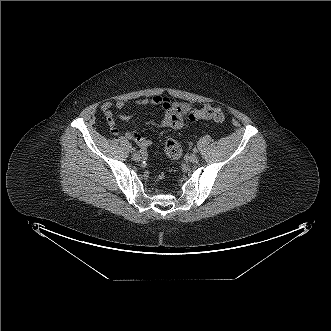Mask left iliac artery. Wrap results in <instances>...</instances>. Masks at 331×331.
<instances>
[{
	"instance_id": "1",
	"label": "left iliac artery",
	"mask_w": 331,
	"mask_h": 331,
	"mask_svg": "<svg viewBox=\"0 0 331 331\" xmlns=\"http://www.w3.org/2000/svg\"><path fill=\"white\" fill-rule=\"evenodd\" d=\"M197 151H198V150H197L196 148L193 149V152H194V153H197Z\"/></svg>"
}]
</instances>
